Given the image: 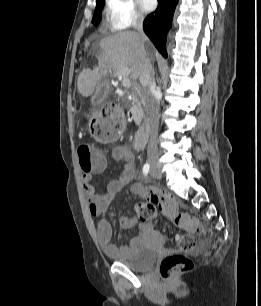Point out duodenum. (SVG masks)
<instances>
[{
    "mask_svg": "<svg viewBox=\"0 0 261 306\" xmlns=\"http://www.w3.org/2000/svg\"><path fill=\"white\" fill-rule=\"evenodd\" d=\"M150 131V123L148 121L144 122L141 127L137 130L134 137V148L136 150H141L147 141Z\"/></svg>",
    "mask_w": 261,
    "mask_h": 306,
    "instance_id": "1",
    "label": "duodenum"
}]
</instances>
